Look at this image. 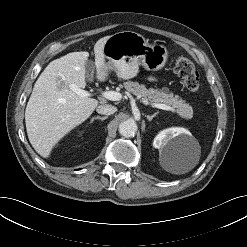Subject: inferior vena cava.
<instances>
[{"label": "inferior vena cava", "instance_id": "1", "mask_svg": "<svg viewBox=\"0 0 247 247\" xmlns=\"http://www.w3.org/2000/svg\"><path fill=\"white\" fill-rule=\"evenodd\" d=\"M96 111L102 115H111L117 111V108L109 104H101L97 107Z\"/></svg>", "mask_w": 247, "mask_h": 247}]
</instances>
